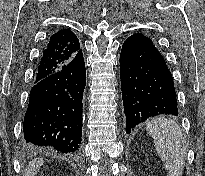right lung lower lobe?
<instances>
[{
	"instance_id": "98d812e1",
	"label": "right lung lower lobe",
	"mask_w": 205,
	"mask_h": 176,
	"mask_svg": "<svg viewBox=\"0 0 205 176\" xmlns=\"http://www.w3.org/2000/svg\"><path fill=\"white\" fill-rule=\"evenodd\" d=\"M85 83L82 51L61 69L34 83L23 123L29 150L54 148L77 153L81 145Z\"/></svg>"
}]
</instances>
